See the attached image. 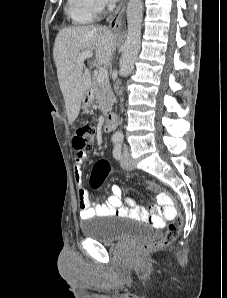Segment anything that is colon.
<instances>
[{
  "instance_id": "obj_1",
  "label": "colon",
  "mask_w": 227,
  "mask_h": 298,
  "mask_svg": "<svg viewBox=\"0 0 227 298\" xmlns=\"http://www.w3.org/2000/svg\"><path fill=\"white\" fill-rule=\"evenodd\" d=\"M95 136L96 129L94 126L90 124L78 126L72 136V146L74 150L89 151L92 148ZM108 173L109 163L107 161L103 160L96 163L90 177L91 186L93 188L100 187ZM149 189L156 193L157 201V204L153 208L154 214L149 217V222L157 228L163 227L166 219L170 220V223L160 239L145 244L142 247L143 252L153 251L174 242L181 232L184 221L182 214L174 207L172 197L168 193L161 191L160 185L150 183Z\"/></svg>"
}]
</instances>
